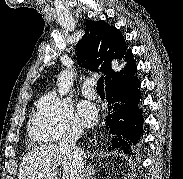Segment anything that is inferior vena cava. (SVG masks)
<instances>
[{
    "instance_id": "602c4592",
    "label": "inferior vena cava",
    "mask_w": 183,
    "mask_h": 179,
    "mask_svg": "<svg viewBox=\"0 0 183 179\" xmlns=\"http://www.w3.org/2000/svg\"><path fill=\"white\" fill-rule=\"evenodd\" d=\"M83 129L74 128L68 132L59 142V147L67 151L73 160L74 179H85L84 163L79 149L76 147L77 140L82 136Z\"/></svg>"
}]
</instances>
